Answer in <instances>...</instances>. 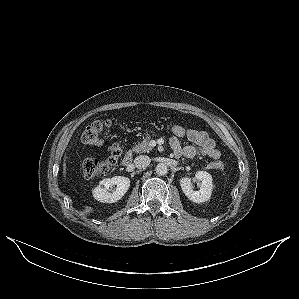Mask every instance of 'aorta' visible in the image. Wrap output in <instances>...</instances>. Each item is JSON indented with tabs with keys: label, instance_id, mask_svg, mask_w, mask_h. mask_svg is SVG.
<instances>
[{
	"label": "aorta",
	"instance_id": "obj_1",
	"mask_svg": "<svg viewBox=\"0 0 299 299\" xmlns=\"http://www.w3.org/2000/svg\"><path fill=\"white\" fill-rule=\"evenodd\" d=\"M155 171H156V173H157L158 175L163 176V175H166V174H167V172H168V167H167V165L164 164V163H159V164H157V166H156V168H155Z\"/></svg>",
	"mask_w": 299,
	"mask_h": 299
}]
</instances>
